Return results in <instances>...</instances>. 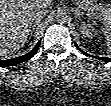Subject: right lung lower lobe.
<instances>
[{
    "label": "right lung lower lobe",
    "mask_w": 111,
    "mask_h": 106,
    "mask_svg": "<svg viewBox=\"0 0 111 106\" xmlns=\"http://www.w3.org/2000/svg\"><path fill=\"white\" fill-rule=\"evenodd\" d=\"M39 46H40V41L29 53H27L23 56L13 58V59H8V60H0V66L1 67L13 66V65H16V64L29 60L30 58H32L35 55Z\"/></svg>",
    "instance_id": "right-lung-lower-lobe-1"
}]
</instances>
